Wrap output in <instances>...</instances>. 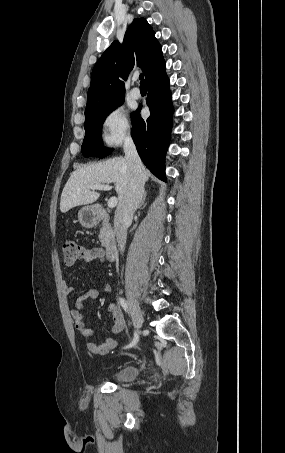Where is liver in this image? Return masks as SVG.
Instances as JSON below:
<instances>
[{
  "label": "liver",
  "mask_w": 285,
  "mask_h": 453,
  "mask_svg": "<svg viewBox=\"0 0 285 453\" xmlns=\"http://www.w3.org/2000/svg\"><path fill=\"white\" fill-rule=\"evenodd\" d=\"M150 173L144 169V180ZM131 169L126 158L114 157L103 162L77 168L66 182L61 194L60 211L66 213L70 209L94 203L100 194L91 191L95 184L114 183L120 202L128 191Z\"/></svg>",
  "instance_id": "1"
}]
</instances>
